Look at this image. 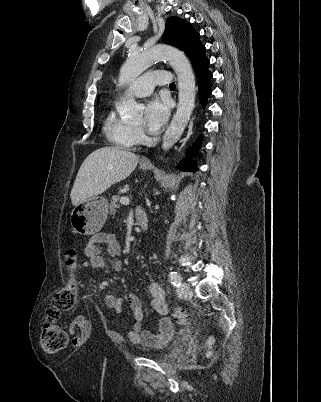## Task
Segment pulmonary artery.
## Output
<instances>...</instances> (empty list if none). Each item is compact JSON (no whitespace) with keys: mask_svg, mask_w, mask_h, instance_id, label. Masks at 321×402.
I'll use <instances>...</instances> for the list:
<instances>
[{"mask_svg":"<svg viewBox=\"0 0 321 402\" xmlns=\"http://www.w3.org/2000/svg\"><path fill=\"white\" fill-rule=\"evenodd\" d=\"M172 78V75L165 70L148 72L133 81L127 92L138 97H144L151 94L155 86L169 85Z\"/></svg>","mask_w":321,"mask_h":402,"instance_id":"e3ab8cb5","label":"pulmonary artery"}]
</instances>
